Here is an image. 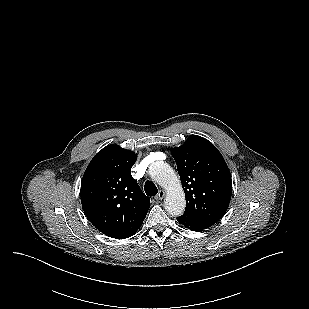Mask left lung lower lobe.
Masks as SVG:
<instances>
[{
	"label": "left lung lower lobe",
	"instance_id": "1",
	"mask_svg": "<svg viewBox=\"0 0 309 309\" xmlns=\"http://www.w3.org/2000/svg\"><path fill=\"white\" fill-rule=\"evenodd\" d=\"M177 220H178L179 223L184 225L186 228H189L193 231H201V230L207 229L209 227L206 224L193 221V220H191L190 218H187V217H181L180 216V217L177 218Z\"/></svg>",
	"mask_w": 309,
	"mask_h": 309
}]
</instances>
